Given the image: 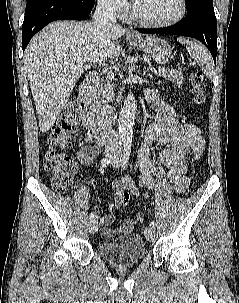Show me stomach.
Wrapping results in <instances>:
<instances>
[{"instance_id": "0dacf381", "label": "stomach", "mask_w": 239, "mask_h": 303, "mask_svg": "<svg viewBox=\"0 0 239 303\" xmlns=\"http://www.w3.org/2000/svg\"><path fill=\"white\" fill-rule=\"evenodd\" d=\"M130 43L145 53L150 54L160 64L168 62L172 53V49L167 41L160 38L139 36L131 39Z\"/></svg>"}]
</instances>
